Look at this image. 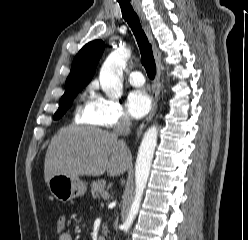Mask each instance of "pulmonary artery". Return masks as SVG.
I'll list each match as a JSON object with an SVG mask.
<instances>
[{
	"label": "pulmonary artery",
	"instance_id": "e3ab8cb5",
	"mask_svg": "<svg viewBox=\"0 0 248 240\" xmlns=\"http://www.w3.org/2000/svg\"><path fill=\"white\" fill-rule=\"evenodd\" d=\"M128 79L133 86H142L144 84V76L140 71L130 72Z\"/></svg>",
	"mask_w": 248,
	"mask_h": 240
}]
</instances>
